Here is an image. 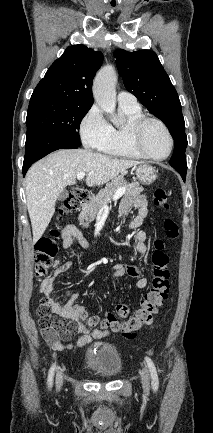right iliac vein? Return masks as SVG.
Masks as SVG:
<instances>
[{"mask_svg":"<svg viewBox=\"0 0 213 433\" xmlns=\"http://www.w3.org/2000/svg\"><path fill=\"white\" fill-rule=\"evenodd\" d=\"M62 384H63V377H62L61 373H58L57 374V378H56V386H57V388L60 389L61 386H62Z\"/></svg>","mask_w":213,"mask_h":433,"instance_id":"right-iliac-vein-1","label":"right iliac vein"}]
</instances>
